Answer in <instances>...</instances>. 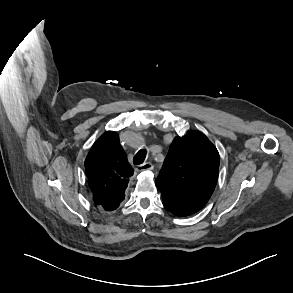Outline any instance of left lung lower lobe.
<instances>
[{"instance_id": "1", "label": "left lung lower lobe", "mask_w": 293, "mask_h": 293, "mask_svg": "<svg viewBox=\"0 0 293 293\" xmlns=\"http://www.w3.org/2000/svg\"><path fill=\"white\" fill-rule=\"evenodd\" d=\"M163 201V205L169 210L171 211L174 215L180 216V217H184V216H188L191 215L193 213H191L189 210L182 208L170 201L164 200Z\"/></svg>"}]
</instances>
